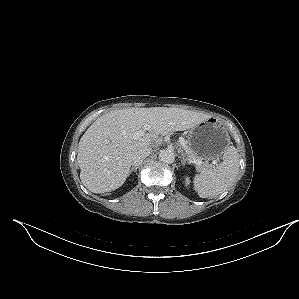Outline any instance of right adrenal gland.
Masks as SVG:
<instances>
[{"label":"right adrenal gland","instance_id":"right-adrenal-gland-1","mask_svg":"<svg viewBox=\"0 0 299 299\" xmlns=\"http://www.w3.org/2000/svg\"><path fill=\"white\" fill-rule=\"evenodd\" d=\"M139 167H132L130 172H129V175L134 171V172H137Z\"/></svg>","mask_w":299,"mask_h":299}]
</instances>
